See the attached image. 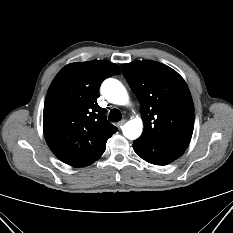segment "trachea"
I'll return each mask as SVG.
<instances>
[{"instance_id":"1","label":"trachea","mask_w":233,"mask_h":233,"mask_svg":"<svg viewBox=\"0 0 233 233\" xmlns=\"http://www.w3.org/2000/svg\"><path fill=\"white\" fill-rule=\"evenodd\" d=\"M121 120V112L118 109H112L109 113V121L118 122Z\"/></svg>"}]
</instances>
